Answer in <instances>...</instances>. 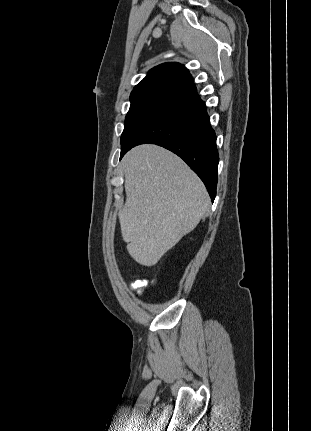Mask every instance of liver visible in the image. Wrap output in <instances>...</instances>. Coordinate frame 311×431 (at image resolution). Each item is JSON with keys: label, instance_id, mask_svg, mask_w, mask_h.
<instances>
[{"label": "liver", "instance_id": "liver-1", "mask_svg": "<svg viewBox=\"0 0 311 431\" xmlns=\"http://www.w3.org/2000/svg\"><path fill=\"white\" fill-rule=\"evenodd\" d=\"M126 202L119 212L127 251L155 265L198 225L210 204L207 190L187 164L159 146H137L122 160Z\"/></svg>", "mask_w": 311, "mask_h": 431}]
</instances>
